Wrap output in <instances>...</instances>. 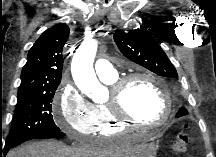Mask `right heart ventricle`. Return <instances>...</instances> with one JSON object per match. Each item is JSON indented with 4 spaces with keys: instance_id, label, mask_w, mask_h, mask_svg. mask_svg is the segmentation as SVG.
I'll list each match as a JSON object with an SVG mask.
<instances>
[{
    "instance_id": "1",
    "label": "right heart ventricle",
    "mask_w": 216,
    "mask_h": 157,
    "mask_svg": "<svg viewBox=\"0 0 216 157\" xmlns=\"http://www.w3.org/2000/svg\"><path fill=\"white\" fill-rule=\"evenodd\" d=\"M116 81V77L104 82L108 85H112ZM94 109L97 115L96 132L101 137H108L114 134L130 131L126 124L117 121L106 103H99L94 105Z\"/></svg>"
}]
</instances>
